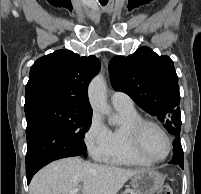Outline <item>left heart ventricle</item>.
<instances>
[{
	"label": "left heart ventricle",
	"instance_id": "obj_1",
	"mask_svg": "<svg viewBox=\"0 0 201 194\" xmlns=\"http://www.w3.org/2000/svg\"><path fill=\"white\" fill-rule=\"evenodd\" d=\"M142 147L150 157L161 158L167 153L168 143L158 129L147 126L142 135Z\"/></svg>",
	"mask_w": 201,
	"mask_h": 194
}]
</instances>
